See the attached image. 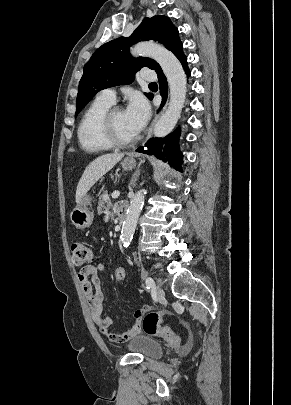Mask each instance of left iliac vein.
Instances as JSON below:
<instances>
[{
  "mask_svg": "<svg viewBox=\"0 0 291 405\" xmlns=\"http://www.w3.org/2000/svg\"><path fill=\"white\" fill-rule=\"evenodd\" d=\"M154 291H155L156 297L162 298L164 296V291L160 285H156L154 288Z\"/></svg>",
  "mask_w": 291,
  "mask_h": 405,
  "instance_id": "4c4485c4",
  "label": "left iliac vein"
}]
</instances>
